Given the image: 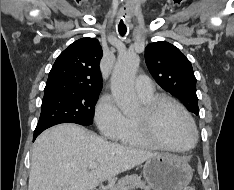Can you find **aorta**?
<instances>
[{"label": "aorta", "instance_id": "762f6f07", "mask_svg": "<svg viewBox=\"0 0 234 190\" xmlns=\"http://www.w3.org/2000/svg\"><path fill=\"white\" fill-rule=\"evenodd\" d=\"M138 66L139 57L134 53H126L118 58L112 73V95L117 106L128 115L138 107L133 86Z\"/></svg>", "mask_w": 234, "mask_h": 190}]
</instances>
